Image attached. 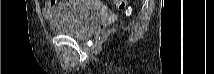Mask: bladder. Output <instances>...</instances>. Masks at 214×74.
<instances>
[{
    "label": "bladder",
    "instance_id": "obj_1",
    "mask_svg": "<svg viewBox=\"0 0 214 74\" xmlns=\"http://www.w3.org/2000/svg\"><path fill=\"white\" fill-rule=\"evenodd\" d=\"M100 18L101 13L92 6L68 5L60 8L52 18L51 29L55 34L84 40L97 28Z\"/></svg>",
    "mask_w": 214,
    "mask_h": 74
}]
</instances>
